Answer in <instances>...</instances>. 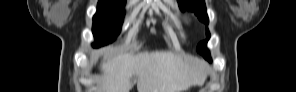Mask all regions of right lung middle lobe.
<instances>
[{"instance_id":"right-lung-middle-lobe-1","label":"right lung middle lobe","mask_w":296,"mask_h":92,"mask_svg":"<svg viewBox=\"0 0 296 92\" xmlns=\"http://www.w3.org/2000/svg\"><path fill=\"white\" fill-rule=\"evenodd\" d=\"M125 0H99L93 17L94 46L112 42L120 33L124 17Z\"/></svg>"}]
</instances>
